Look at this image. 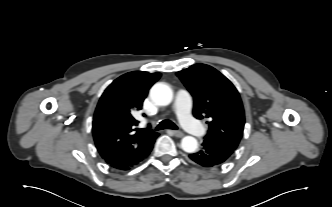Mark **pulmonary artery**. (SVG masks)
<instances>
[{
    "instance_id": "pulmonary-artery-1",
    "label": "pulmonary artery",
    "mask_w": 332,
    "mask_h": 207,
    "mask_svg": "<svg viewBox=\"0 0 332 207\" xmlns=\"http://www.w3.org/2000/svg\"><path fill=\"white\" fill-rule=\"evenodd\" d=\"M192 105L190 94L184 89L178 90L174 102V111L180 124L193 135H204L206 129L198 125L191 116Z\"/></svg>"
}]
</instances>
